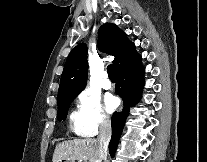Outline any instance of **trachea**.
Returning <instances> with one entry per match:
<instances>
[{"label": "trachea", "mask_w": 207, "mask_h": 162, "mask_svg": "<svg viewBox=\"0 0 207 162\" xmlns=\"http://www.w3.org/2000/svg\"><path fill=\"white\" fill-rule=\"evenodd\" d=\"M107 73H108L109 79H115V72H114L113 65L110 64L107 67Z\"/></svg>", "instance_id": "1"}]
</instances>
